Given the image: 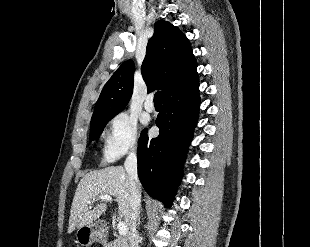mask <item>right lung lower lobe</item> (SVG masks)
Listing matches in <instances>:
<instances>
[{
	"instance_id": "1",
	"label": "right lung lower lobe",
	"mask_w": 310,
	"mask_h": 247,
	"mask_svg": "<svg viewBox=\"0 0 310 247\" xmlns=\"http://www.w3.org/2000/svg\"><path fill=\"white\" fill-rule=\"evenodd\" d=\"M162 103L156 119L159 136L149 140L144 129L139 139L138 176L151 197L170 207L198 120L199 83L166 96Z\"/></svg>"
}]
</instances>
